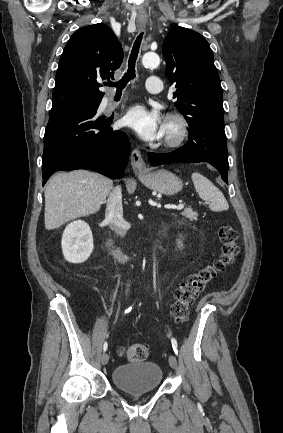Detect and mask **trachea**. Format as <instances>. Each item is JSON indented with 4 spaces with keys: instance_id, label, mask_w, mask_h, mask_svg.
<instances>
[{
    "instance_id": "trachea-1",
    "label": "trachea",
    "mask_w": 283,
    "mask_h": 433,
    "mask_svg": "<svg viewBox=\"0 0 283 433\" xmlns=\"http://www.w3.org/2000/svg\"><path fill=\"white\" fill-rule=\"evenodd\" d=\"M142 38H143V32H141L138 35V37L136 38V40L134 41V44H133V47H132V50H131V54H130L129 60H128V70L124 74V76L121 78V80H119L116 83H114V82H108L106 84L108 87H116L117 93H121L122 90L127 85V83L130 80H132L133 78H135V64H136V60H137V57H138V54H139V49H140V46H141Z\"/></svg>"
}]
</instances>
